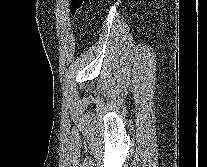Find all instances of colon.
Listing matches in <instances>:
<instances>
[{
	"mask_svg": "<svg viewBox=\"0 0 207 167\" xmlns=\"http://www.w3.org/2000/svg\"><path fill=\"white\" fill-rule=\"evenodd\" d=\"M85 4V0H71L70 12L72 14H77L81 11Z\"/></svg>",
	"mask_w": 207,
	"mask_h": 167,
	"instance_id": "1",
	"label": "colon"
}]
</instances>
